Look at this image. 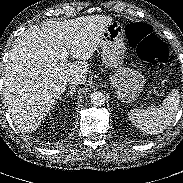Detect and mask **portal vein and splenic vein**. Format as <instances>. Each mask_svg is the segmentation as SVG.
Masks as SVG:
<instances>
[{
    "label": "portal vein and splenic vein",
    "instance_id": "obj_1",
    "mask_svg": "<svg viewBox=\"0 0 183 183\" xmlns=\"http://www.w3.org/2000/svg\"><path fill=\"white\" fill-rule=\"evenodd\" d=\"M68 56H69V52L65 48H62V50H61V58H60L61 61L62 62L67 61Z\"/></svg>",
    "mask_w": 183,
    "mask_h": 183
}]
</instances>
